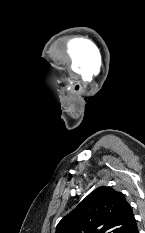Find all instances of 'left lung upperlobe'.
<instances>
[{
	"mask_svg": "<svg viewBox=\"0 0 145 233\" xmlns=\"http://www.w3.org/2000/svg\"><path fill=\"white\" fill-rule=\"evenodd\" d=\"M135 225L125 196L101 186L58 223L56 233H130Z\"/></svg>",
	"mask_w": 145,
	"mask_h": 233,
	"instance_id": "left-lung-upper-lobe-1",
	"label": "left lung upper lobe"
}]
</instances>
